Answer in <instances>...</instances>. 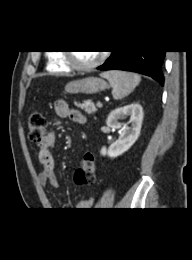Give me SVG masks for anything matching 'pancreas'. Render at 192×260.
<instances>
[{"mask_svg":"<svg viewBox=\"0 0 192 260\" xmlns=\"http://www.w3.org/2000/svg\"><path fill=\"white\" fill-rule=\"evenodd\" d=\"M74 105L82 109L87 114H94L98 110L94 102L91 100L84 101L83 103L74 102Z\"/></svg>","mask_w":192,"mask_h":260,"instance_id":"1","label":"pancreas"}]
</instances>
